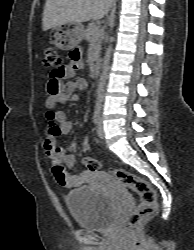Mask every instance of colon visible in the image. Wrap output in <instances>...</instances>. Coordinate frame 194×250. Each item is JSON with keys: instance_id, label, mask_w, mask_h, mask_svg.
I'll use <instances>...</instances> for the list:
<instances>
[{"instance_id": "obj_1", "label": "colon", "mask_w": 194, "mask_h": 250, "mask_svg": "<svg viewBox=\"0 0 194 250\" xmlns=\"http://www.w3.org/2000/svg\"><path fill=\"white\" fill-rule=\"evenodd\" d=\"M72 61L77 62L80 60L78 51H73L70 55ZM61 56L57 49L53 46H47L43 50L42 64L45 67L55 68L56 70L61 67ZM82 150L87 152L90 149L87 139L82 141ZM83 164L91 172H100L103 169L101 162L92 159L88 156L83 158ZM109 174L121 185L130 188L136 192L140 197V203L137 208L127 217L126 223L133 225L144 218L152 216L157 209L156 193L153 187L143 178L136 174L128 172L122 168H110Z\"/></svg>"}]
</instances>
